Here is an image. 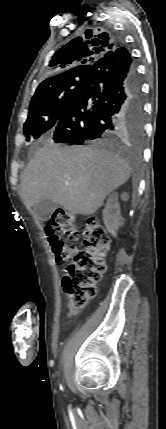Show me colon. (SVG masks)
I'll use <instances>...</instances> for the list:
<instances>
[{"mask_svg": "<svg viewBox=\"0 0 166 429\" xmlns=\"http://www.w3.org/2000/svg\"><path fill=\"white\" fill-rule=\"evenodd\" d=\"M77 218L62 209L51 216V227L47 229L48 240L57 262L72 260L62 279V288L74 308H81L96 295L97 283L106 271L105 253L110 246V237L95 218H89L84 229V249L68 245L53 231L78 237Z\"/></svg>", "mask_w": 166, "mask_h": 429, "instance_id": "colon-1", "label": "colon"}]
</instances>
